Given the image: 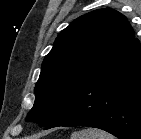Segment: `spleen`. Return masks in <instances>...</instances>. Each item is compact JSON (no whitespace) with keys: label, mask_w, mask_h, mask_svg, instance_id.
Listing matches in <instances>:
<instances>
[{"label":"spleen","mask_w":141,"mask_h":139,"mask_svg":"<svg viewBox=\"0 0 141 139\" xmlns=\"http://www.w3.org/2000/svg\"><path fill=\"white\" fill-rule=\"evenodd\" d=\"M71 139H115L111 134L95 128L82 129L73 132Z\"/></svg>","instance_id":"obj_1"}]
</instances>
